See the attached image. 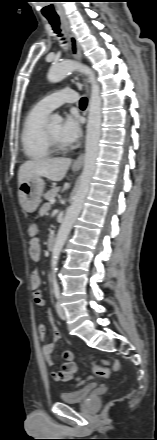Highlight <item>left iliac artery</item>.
<instances>
[{
  "label": "left iliac artery",
  "mask_w": 157,
  "mask_h": 440,
  "mask_svg": "<svg viewBox=\"0 0 157 440\" xmlns=\"http://www.w3.org/2000/svg\"><path fill=\"white\" fill-rule=\"evenodd\" d=\"M53 292L55 297L58 299L60 297V289H59V285L57 282L53 283Z\"/></svg>",
  "instance_id": "obj_1"
}]
</instances>
